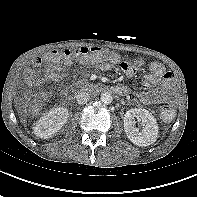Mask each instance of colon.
Masks as SVG:
<instances>
[{
	"label": "colon",
	"instance_id": "5ec220e1",
	"mask_svg": "<svg viewBox=\"0 0 197 197\" xmlns=\"http://www.w3.org/2000/svg\"><path fill=\"white\" fill-rule=\"evenodd\" d=\"M81 62L103 63V62H115L117 56L104 48L94 47H79L75 49L66 48L62 51L54 50L48 55V60L53 63L67 62L70 63L73 60ZM128 62L123 61L121 67H127ZM174 110L170 106H163L160 111L161 118L164 121H170L174 117Z\"/></svg>",
	"mask_w": 197,
	"mask_h": 197
}]
</instances>
